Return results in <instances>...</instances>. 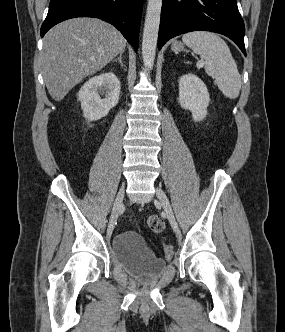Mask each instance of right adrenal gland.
<instances>
[{
  "mask_svg": "<svg viewBox=\"0 0 285 332\" xmlns=\"http://www.w3.org/2000/svg\"><path fill=\"white\" fill-rule=\"evenodd\" d=\"M113 61H119L120 65H121V66H124L123 61H122V53L119 55L118 58H116V59L113 60Z\"/></svg>",
  "mask_w": 285,
  "mask_h": 332,
  "instance_id": "right-adrenal-gland-1",
  "label": "right adrenal gland"
}]
</instances>
